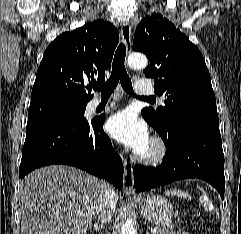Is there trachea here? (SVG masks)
<instances>
[{"instance_id": "trachea-1", "label": "trachea", "mask_w": 241, "mask_h": 234, "mask_svg": "<svg viewBox=\"0 0 241 234\" xmlns=\"http://www.w3.org/2000/svg\"><path fill=\"white\" fill-rule=\"evenodd\" d=\"M125 56H126V47L123 43H120V45L118 46L115 52L110 78L104 84H94L92 86L93 89L100 91L102 96L109 97L114 92V89L116 88L119 81L123 89L128 94L134 95L131 79L129 78L126 72L125 65H124ZM140 98L150 100V98H147V97H140Z\"/></svg>"}]
</instances>
